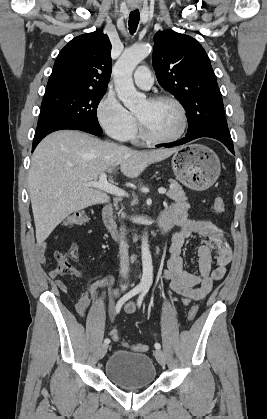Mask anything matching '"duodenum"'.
<instances>
[{
	"label": "duodenum",
	"instance_id": "410a0bca",
	"mask_svg": "<svg viewBox=\"0 0 267 419\" xmlns=\"http://www.w3.org/2000/svg\"><path fill=\"white\" fill-rule=\"evenodd\" d=\"M102 220L106 227V229L110 232V234L118 238L119 237V231L118 226L115 220L114 216V207L112 204H107L104 206L102 210ZM172 226V222L166 218L162 217L159 219L157 224V231L159 235L164 234L166 231H168Z\"/></svg>",
	"mask_w": 267,
	"mask_h": 419
}]
</instances>
